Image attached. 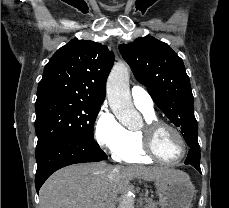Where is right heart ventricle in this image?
<instances>
[{
  "label": "right heart ventricle",
  "mask_w": 229,
  "mask_h": 208,
  "mask_svg": "<svg viewBox=\"0 0 229 208\" xmlns=\"http://www.w3.org/2000/svg\"><path fill=\"white\" fill-rule=\"evenodd\" d=\"M127 77V75H126ZM141 111V110H140ZM146 120L156 119L155 113H148L141 111ZM129 140V146L116 154L115 156L122 161L127 162H149L153 158H145L144 154L141 152L142 143H145L144 138L137 130H126Z\"/></svg>",
  "instance_id": "obj_1"
}]
</instances>
